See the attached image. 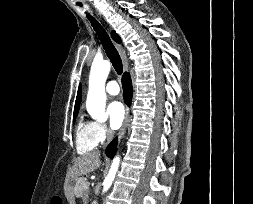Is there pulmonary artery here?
I'll return each mask as SVG.
<instances>
[{"mask_svg": "<svg viewBox=\"0 0 253 204\" xmlns=\"http://www.w3.org/2000/svg\"><path fill=\"white\" fill-rule=\"evenodd\" d=\"M106 92L112 96L118 95L120 92V87L118 83L114 80L109 81L106 85Z\"/></svg>", "mask_w": 253, "mask_h": 204, "instance_id": "1", "label": "pulmonary artery"}]
</instances>
